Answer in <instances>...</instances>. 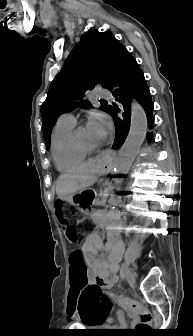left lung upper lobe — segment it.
Masks as SVG:
<instances>
[{"label": "left lung upper lobe", "instance_id": "obj_1", "mask_svg": "<svg viewBox=\"0 0 193 336\" xmlns=\"http://www.w3.org/2000/svg\"><path fill=\"white\" fill-rule=\"evenodd\" d=\"M125 47L111 34L91 30L82 36L61 71L52 81L42 106L43 135L47 149L57 118L76 107L89 108L88 90L100 84L107 88L114 79L118 60ZM110 112V106L100 107Z\"/></svg>", "mask_w": 193, "mask_h": 336}]
</instances>
